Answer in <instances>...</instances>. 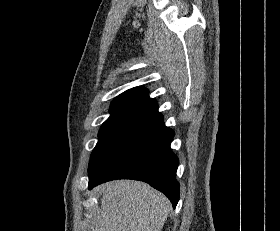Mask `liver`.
Wrapping results in <instances>:
<instances>
[{"mask_svg":"<svg viewBox=\"0 0 280 231\" xmlns=\"http://www.w3.org/2000/svg\"><path fill=\"white\" fill-rule=\"evenodd\" d=\"M105 187L90 231H161L170 209L163 193L132 179L110 181Z\"/></svg>","mask_w":280,"mask_h":231,"instance_id":"1","label":"liver"}]
</instances>
